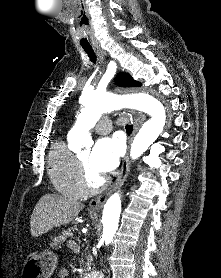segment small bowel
<instances>
[{
    "mask_svg": "<svg viewBox=\"0 0 221 278\" xmlns=\"http://www.w3.org/2000/svg\"><path fill=\"white\" fill-rule=\"evenodd\" d=\"M66 270H63L58 276L57 278H63L66 275Z\"/></svg>",
    "mask_w": 221,
    "mask_h": 278,
    "instance_id": "obj_1",
    "label": "small bowel"
}]
</instances>
